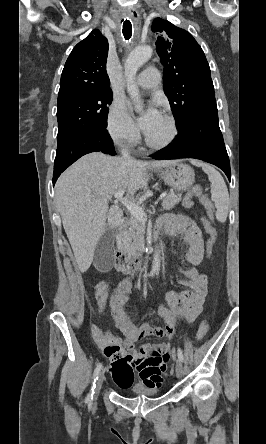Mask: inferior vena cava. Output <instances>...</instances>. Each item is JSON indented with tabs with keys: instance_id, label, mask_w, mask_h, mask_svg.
Returning a JSON list of instances; mask_svg holds the SVG:
<instances>
[{
	"instance_id": "inferior-vena-cava-1",
	"label": "inferior vena cava",
	"mask_w": 266,
	"mask_h": 444,
	"mask_svg": "<svg viewBox=\"0 0 266 444\" xmlns=\"http://www.w3.org/2000/svg\"><path fill=\"white\" fill-rule=\"evenodd\" d=\"M121 154H122V157H123L124 159H127V160H130V159H131L130 154H129V151H128L127 149L123 148V149L121 150Z\"/></svg>"
}]
</instances>
